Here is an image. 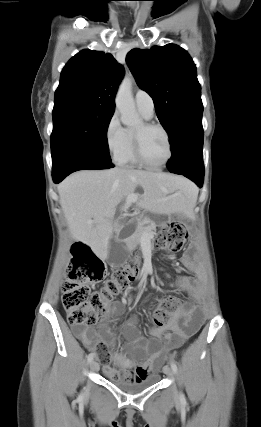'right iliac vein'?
<instances>
[{
  "instance_id": "1",
  "label": "right iliac vein",
  "mask_w": 261,
  "mask_h": 427,
  "mask_svg": "<svg viewBox=\"0 0 261 427\" xmlns=\"http://www.w3.org/2000/svg\"><path fill=\"white\" fill-rule=\"evenodd\" d=\"M90 368L92 371L96 372L99 370V364L96 361H92L90 364Z\"/></svg>"
}]
</instances>
